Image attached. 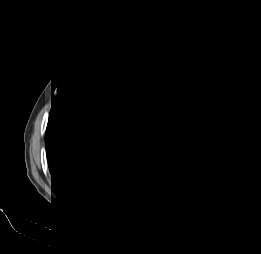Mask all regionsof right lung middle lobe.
<instances>
[{
	"label": "right lung middle lobe",
	"instance_id": "obj_1",
	"mask_svg": "<svg viewBox=\"0 0 261 254\" xmlns=\"http://www.w3.org/2000/svg\"><path fill=\"white\" fill-rule=\"evenodd\" d=\"M91 88L85 86L80 80L67 85L53 102L50 118H64L76 121L91 131L102 133L103 126L97 115V105L90 95Z\"/></svg>",
	"mask_w": 261,
	"mask_h": 254
}]
</instances>
